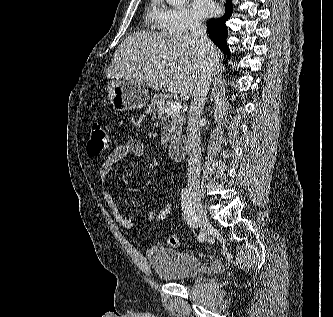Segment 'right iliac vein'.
<instances>
[{
	"mask_svg": "<svg viewBox=\"0 0 333 317\" xmlns=\"http://www.w3.org/2000/svg\"><path fill=\"white\" fill-rule=\"evenodd\" d=\"M190 199L194 205V211L198 218L201 234L206 238L211 231V224L206 216V210L202 204L199 192L197 190H191Z\"/></svg>",
	"mask_w": 333,
	"mask_h": 317,
	"instance_id": "1",
	"label": "right iliac vein"
}]
</instances>
